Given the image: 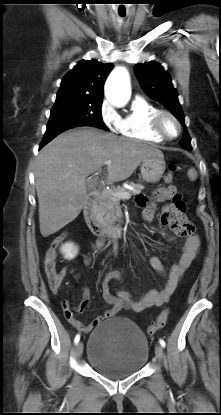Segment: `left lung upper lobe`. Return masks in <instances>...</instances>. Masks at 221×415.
Segmentation results:
<instances>
[{"label": "left lung upper lobe", "instance_id": "1", "mask_svg": "<svg viewBox=\"0 0 221 415\" xmlns=\"http://www.w3.org/2000/svg\"><path fill=\"white\" fill-rule=\"evenodd\" d=\"M134 71L145 93L165 105L185 128V117L178 101V92L172 85L170 74L156 62L136 64ZM190 143V136L185 129L179 144L187 150H192Z\"/></svg>", "mask_w": 221, "mask_h": 415}]
</instances>
